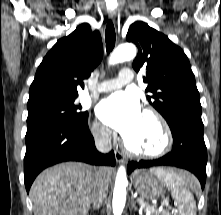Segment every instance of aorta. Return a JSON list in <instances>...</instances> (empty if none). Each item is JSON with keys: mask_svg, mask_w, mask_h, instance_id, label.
Instances as JSON below:
<instances>
[{"mask_svg": "<svg viewBox=\"0 0 221 215\" xmlns=\"http://www.w3.org/2000/svg\"><path fill=\"white\" fill-rule=\"evenodd\" d=\"M136 47L131 43H125L119 45L111 54L109 63L114 65L133 59L136 56ZM128 185L126 169L124 166H120L115 180L113 191V214L121 215L126 202V187Z\"/></svg>", "mask_w": 221, "mask_h": 215, "instance_id": "1", "label": "aorta"}]
</instances>
